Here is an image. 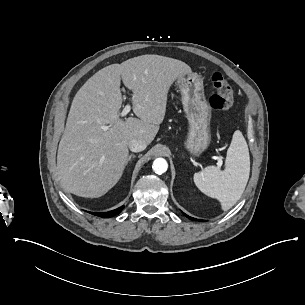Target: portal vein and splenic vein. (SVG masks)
<instances>
[{
  "label": "portal vein and splenic vein",
  "instance_id": "18ae733b",
  "mask_svg": "<svg viewBox=\"0 0 305 305\" xmlns=\"http://www.w3.org/2000/svg\"><path fill=\"white\" fill-rule=\"evenodd\" d=\"M131 103H127L126 106L124 107V110H123V114H127L131 111ZM107 127H104V130L106 129ZM221 166H222V161L220 159L217 160V168L218 169H221Z\"/></svg>",
  "mask_w": 305,
  "mask_h": 305
}]
</instances>
